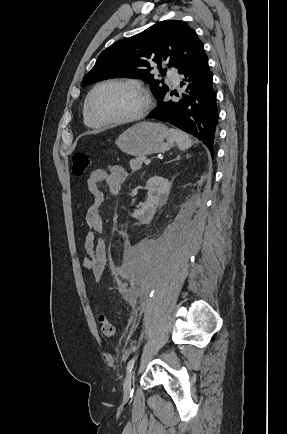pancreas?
<instances>
[{"label":"pancreas","mask_w":287,"mask_h":434,"mask_svg":"<svg viewBox=\"0 0 287 434\" xmlns=\"http://www.w3.org/2000/svg\"><path fill=\"white\" fill-rule=\"evenodd\" d=\"M144 159H145L144 156H139V157H137L135 159H132L129 162L132 171H138V170H140L141 167H142V164L144 162Z\"/></svg>","instance_id":"cf45deb5"}]
</instances>
